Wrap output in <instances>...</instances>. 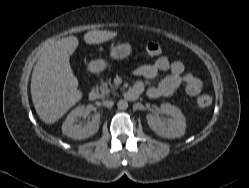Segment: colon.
Listing matches in <instances>:
<instances>
[{"label":"colon","instance_id":"colon-1","mask_svg":"<svg viewBox=\"0 0 249 188\" xmlns=\"http://www.w3.org/2000/svg\"><path fill=\"white\" fill-rule=\"evenodd\" d=\"M145 51L149 55H157L160 53L161 48H160V45L158 43L150 41V42L146 43ZM210 104H211V98L208 95H201L196 99V105L199 108H206V107L210 106Z\"/></svg>","mask_w":249,"mask_h":188}]
</instances>
